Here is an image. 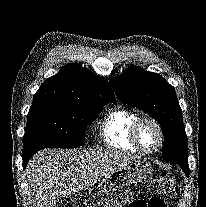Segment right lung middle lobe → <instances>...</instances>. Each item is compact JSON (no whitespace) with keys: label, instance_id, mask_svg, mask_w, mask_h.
I'll return each mask as SVG.
<instances>
[{"label":"right lung middle lobe","instance_id":"1","mask_svg":"<svg viewBox=\"0 0 206 207\" xmlns=\"http://www.w3.org/2000/svg\"><path fill=\"white\" fill-rule=\"evenodd\" d=\"M104 105H79L55 101L33 103L23 137V154L44 148H75L84 144L87 125Z\"/></svg>","mask_w":206,"mask_h":207}]
</instances>
